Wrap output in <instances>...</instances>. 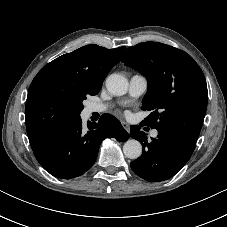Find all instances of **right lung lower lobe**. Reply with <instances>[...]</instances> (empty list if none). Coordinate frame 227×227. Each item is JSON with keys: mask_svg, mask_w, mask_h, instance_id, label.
<instances>
[{"mask_svg": "<svg viewBox=\"0 0 227 227\" xmlns=\"http://www.w3.org/2000/svg\"><path fill=\"white\" fill-rule=\"evenodd\" d=\"M87 127H82L79 117L58 129L33 150L37 161L51 175L71 179L92 167L105 138H129L120 122L110 114H103L98 123L88 122Z\"/></svg>", "mask_w": 227, "mask_h": 227, "instance_id": "1", "label": "right lung lower lobe"}]
</instances>
